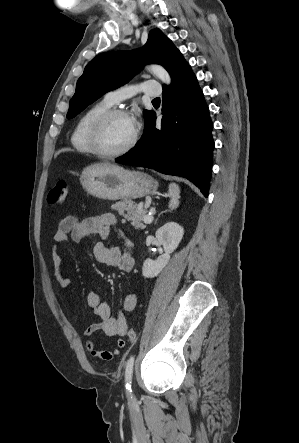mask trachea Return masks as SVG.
I'll return each instance as SVG.
<instances>
[{
    "label": "trachea",
    "instance_id": "trachea-1",
    "mask_svg": "<svg viewBox=\"0 0 299 443\" xmlns=\"http://www.w3.org/2000/svg\"><path fill=\"white\" fill-rule=\"evenodd\" d=\"M152 102H160V98H159V97H157V98L153 99V101H152Z\"/></svg>",
    "mask_w": 299,
    "mask_h": 443
}]
</instances>
